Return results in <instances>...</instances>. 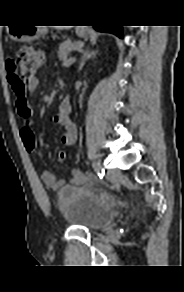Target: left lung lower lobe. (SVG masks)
<instances>
[{
  "label": "left lung lower lobe",
  "instance_id": "0a47b994",
  "mask_svg": "<svg viewBox=\"0 0 184 292\" xmlns=\"http://www.w3.org/2000/svg\"><path fill=\"white\" fill-rule=\"evenodd\" d=\"M94 28L100 32H110L119 37H122L121 26H111V25H94Z\"/></svg>",
  "mask_w": 184,
  "mask_h": 292
}]
</instances>
